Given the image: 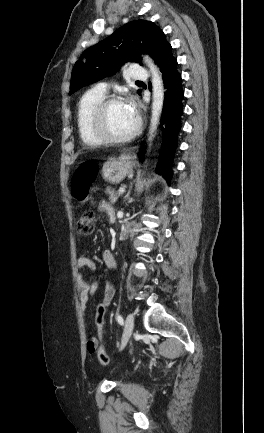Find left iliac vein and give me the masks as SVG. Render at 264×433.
Instances as JSON below:
<instances>
[{
    "instance_id": "left-iliac-vein-1",
    "label": "left iliac vein",
    "mask_w": 264,
    "mask_h": 433,
    "mask_svg": "<svg viewBox=\"0 0 264 433\" xmlns=\"http://www.w3.org/2000/svg\"><path fill=\"white\" fill-rule=\"evenodd\" d=\"M133 329H134V318L132 314H128L125 320V328H124L121 349L124 348V346L127 344L128 340L132 335Z\"/></svg>"
}]
</instances>
